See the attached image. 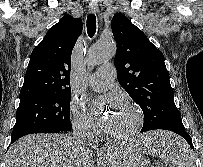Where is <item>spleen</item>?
<instances>
[{
    "mask_svg": "<svg viewBox=\"0 0 203 167\" xmlns=\"http://www.w3.org/2000/svg\"><path fill=\"white\" fill-rule=\"evenodd\" d=\"M143 150L159 156L176 167H195L191 151L187 144L178 136L165 132L148 134Z\"/></svg>",
    "mask_w": 203,
    "mask_h": 167,
    "instance_id": "1",
    "label": "spleen"
}]
</instances>
